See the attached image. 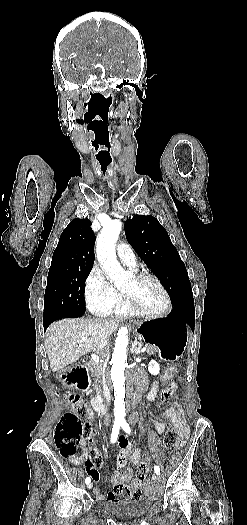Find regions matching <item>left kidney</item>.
Wrapping results in <instances>:
<instances>
[{"instance_id":"1","label":"left kidney","mask_w":247,"mask_h":525,"mask_svg":"<svg viewBox=\"0 0 247 525\" xmlns=\"http://www.w3.org/2000/svg\"><path fill=\"white\" fill-rule=\"evenodd\" d=\"M149 371H150V373H152V375H158V373H159V365H158V363H155V361H151L150 367H149Z\"/></svg>"}]
</instances>
